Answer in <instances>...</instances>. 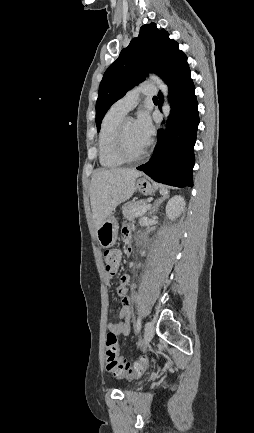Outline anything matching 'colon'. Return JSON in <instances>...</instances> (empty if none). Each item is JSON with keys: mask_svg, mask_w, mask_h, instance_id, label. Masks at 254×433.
<instances>
[{"mask_svg": "<svg viewBox=\"0 0 254 433\" xmlns=\"http://www.w3.org/2000/svg\"><path fill=\"white\" fill-rule=\"evenodd\" d=\"M105 272L114 275L117 272L120 260V253L114 249H107L103 252ZM106 371L119 378H132L139 376L146 368L145 358L131 363L119 357L118 339L115 333L109 332L106 336Z\"/></svg>", "mask_w": 254, "mask_h": 433, "instance_id": "obj_1", "label": "colon"}]
</instances>
